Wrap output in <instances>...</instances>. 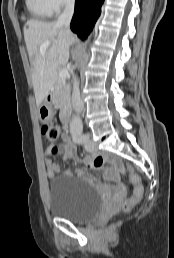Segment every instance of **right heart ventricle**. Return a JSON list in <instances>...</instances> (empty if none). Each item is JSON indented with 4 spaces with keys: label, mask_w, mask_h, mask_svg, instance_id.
<instances>
[{
    "label": "right heart ventricle",
    "mask_w": 174,
    "mask_h": 258,
    "mask_svg": "<svg viewBox=\"0 0 174 258\" xmlns=\"http://www.w3.org/2000/svg\"><path fill=\"white\" fill-rule=\"evenodd\" d=\"M28 11L37 18H47L52 11L46 0H25Z\"/></svg>",
    "instance_id": "e07e8e85"
}]
</instances>
